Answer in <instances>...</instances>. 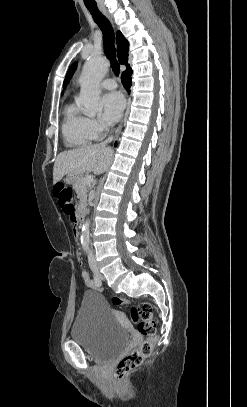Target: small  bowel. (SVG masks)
<instances>
[{
	"label": "small bowel",
	"mask_w": 247,
	"mask_h": 407,
	"mask_svg": "<svg viewBox=\"0 0 247 407\" xmlns=\"http://www.w3.org/2000/svg\"><path fill=\"white\" fill-rule=\"evenodd\" d=\"M68 217H69V220H70L71 222H73V223L76 222V215H75V212H74L72 215L68 216ZM73 232H74L75 237H78V231H77L76 228L74 229ZM82 278H83L84 283H85V285H86L87 287H93L94 283H93V281L90 279V277H89V275H88L87 272H83V273H82Z\"/></svg>",
	"instance_id": "c3829d8e"
}]
</instances>
